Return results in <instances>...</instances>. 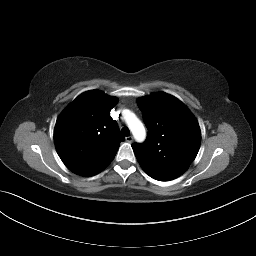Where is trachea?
I'll use <instances>...</instances> for the list:
<instances>
[{
  "instance_id": "trachea-1",
  "label": "trachea",
  "mask_w": 256,
  "mask_h": 256,
  "mask_svg": "<svg viewBox=\"0 0 256 256\" xmlns=\"http://www.w3.org/2000/svg\"><path fill=\"white\" fill-rule=\"evenodd\" d=\"M121 133H122V135H124V136H129V135H130V131H129V129H128L127 127H123V128L121 129Z\"/></svg>"
}]
</instances>
